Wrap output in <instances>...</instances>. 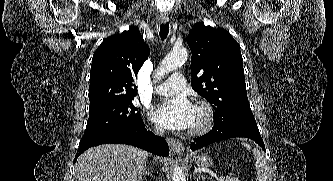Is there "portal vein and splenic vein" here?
Segmentation results:
<instances>
[{
	"label": "portal vein and splenic vein",
	"instance_id": "obj_1",
	"mask_svg": "<svg viewBox=\"0 0 333 181\" xmlns=\"http://www.w3.org/2000/svg\"><path fill=\"white\" fill-rule=\"evenodd\" d=\"M216 180H217V181H224V177H223V176L216 177Z\"/></svg>",
	"mask_w": 333,
	"mask_h": 181
}]
</instances>
